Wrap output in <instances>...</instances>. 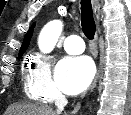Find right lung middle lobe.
Segmentation results:
<instances>
[{
  "instance_id": "dd1d6c3e",
  "label": "right lung middle lobe",
  "mask_w": 131,
  "mask_h": 115,
  "mask_svg": "<svg viewBox=\"0 0 131 115\" xmlns=\"http://www.w3.org/2000/svg\"><path fill=\"white\" fill-rule=\"evenodd\" d=\"M21 56H22V54H20L18 58H20Z\"/></svg>"
}]
</instances>
